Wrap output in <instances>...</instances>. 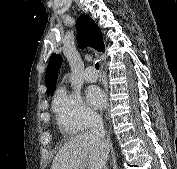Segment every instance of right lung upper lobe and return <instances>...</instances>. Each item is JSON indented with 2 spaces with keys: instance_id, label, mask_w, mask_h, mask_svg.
I'll list each match as a JSON object with an SVG mask.
<instances>
[{
  "instance_id": "cb5924a9",
  "label": "right lung upper lobe",
  "mask_w": 177,
  "mask_h": 169,
  "mask_svg": "<svg viewBox=\"0 0 177 169\" xmlns=\"http://www.w3.org/2000/svg\"><path fill=\"white\" fill-rule=\"evenodd\" d=\"M80 20L83 21L81 30L77 35L79 46H90L94 49L104 52L105 46L103 36L98 25L93 19L87 15H81ZM62 62V58L58 54H53L50 58L49 66L45 76L47 91L52 92L58 75V68Z\"/></svg>"
}]
</instances>
